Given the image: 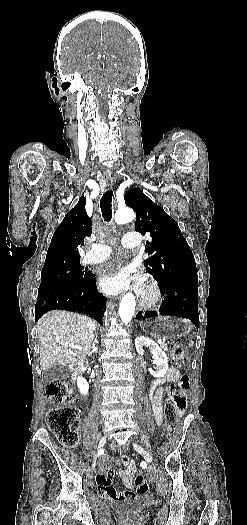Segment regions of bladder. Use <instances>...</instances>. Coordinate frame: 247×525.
<instances>
[{
    "instance_id": "bladder-1",
    "label": "bladder",
    "mask_w": 247,
    "mask_h": 525,
    "mask_svg": "<svg viewBox=\"0 0 247 525\" xmlns=\"http://www.w3.org/2000/svg\"><path fill=\"white\" fill-rule=\"evenodd\" d=\"M155 499L147 495H137L134 498L115 502L112 509L122 515L133 514L150 508L155 504Z\"/></svg>"
}]
</instances>
